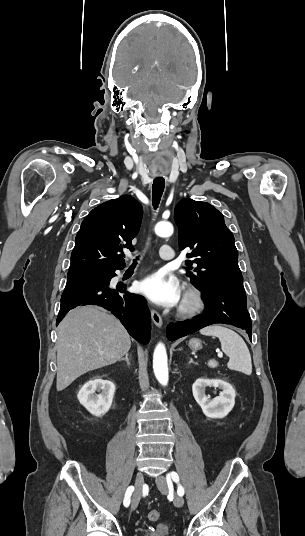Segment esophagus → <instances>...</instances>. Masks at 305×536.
I'll return each instance as SVG.
<instances>
[{"mask_svg":"<svg viewBox=\"0 0 305 536\" xmlns=\"http://www.w3.org/2000/svg\"><path fill=\"white\" fill-rule=\"evenodd\" d=\"M151 317H152V320L154 321V324L158 328H161V326H162V318H161L160 314L157 311H155L154 309H151Z\"/></svg>","mask_w":305,"mask_h":536,"instance_id":"1","label":"esophagus"}]
</instances>
